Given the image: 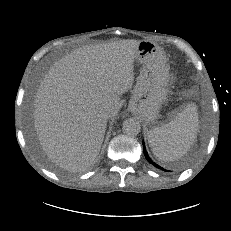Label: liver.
<instances>
[{
  "mask_svg": "<svg viewBox=\"0 0 231 231\" xmlns=\"http://www.w3.org/2000/svg\"><path fill=\"white\" fill-rule=\"evenodd\" d=\"M140 41L119 40L79 48L56 62L34 101V127L55 164L81 171L93 164L107 127L101 112L117 115L120 95L132 88Z\"/></svg>",
  "mask_w": 231,
  "mask_h": 231,
  "instance_id": "obj_1",
  "label": "liver"
}]
</instances>
